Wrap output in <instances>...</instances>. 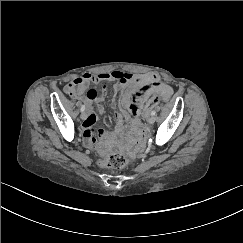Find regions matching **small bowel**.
<instances>
[{
  "label": "small bowel",
  "instance_id": "small-bowel-1",
  "mask_svg": "<svg viewBox=\"0 0 243 243\" xmlns=\"http://www.w3.org/2000/svg\"><path fill=\"white\" fill-rule=\"evenodd\" d=\"M117 81L114 85V92L124 89L121 100V106L129 114L116 112L118 121L124 118L137 123L135 116L141 113H148L153 107L165 98H169L172 89L160 80L155 73L132 74L122 71L102 72L98 74L84 73L73 78L65 86V92L71 97L80 100H86L89 103V110L84 122L82 123V133L87 145H94L96 139L94 126L97 121V115L93 109L94 102L99 101L96 90H87L90 83ZM98 112L102 111L101 106H97Z\"/></svg>",
  "mask_w": 243,
  "mask_h": 243
}]
</instances>
